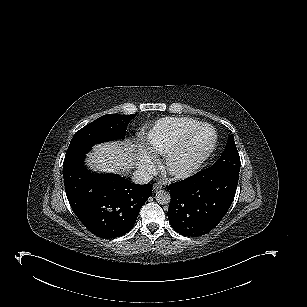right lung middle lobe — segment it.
Returning <instances> with one entry per match:
<instances>
[{
    "instance_id": "dd1d6c3e",
    "label": "right lung middle lobe",
    "mask_w": 307,
    "mask_h": 307,
    "mask_svg": "<svg viewBox=\"0 0 307 307\" xmlns=\"http://www.w3.org/2000/svg\"><path fill=\"white\" fill-rule=\"evenodd\" d=\"M135 117L108 114L84 126L73 136L66 154L88 152L93 145L125 137L129 121Z\"/></svg>"
}]
</instances>
